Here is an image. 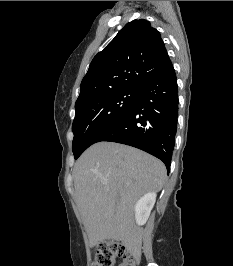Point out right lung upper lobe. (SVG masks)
Returning a JSON list of instances; mask_svg holds the SVG:
<instances>
[{"label": "right lung upper lobe", "instance_id": "right-lung-upper-lobe-1", "mask_svg": "<svg viewBox=\"0 0 233 266\" xmlns=\"http://www.w3.org/2000/svg\"><path fill=\"white\" fill-rule=\"evenodd\" d=\"M171 65L160 33L147 20H133L93 58L76 103L111 90H140Z\"/></svg>", "mask_w": 233, "mask_h": 266}]
</instances>
